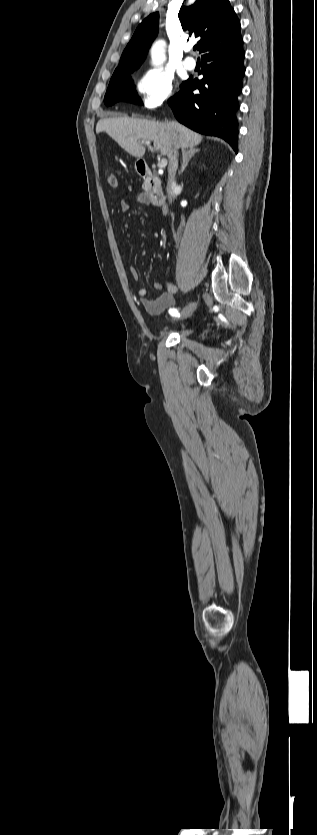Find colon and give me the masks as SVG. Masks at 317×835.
<instances>
[{
	"instance_id": "5ec220e1",
	"label": "colon",
	"mask_w": 317,
	"mask_h": 835,
	"mask_svg": "<svg viewBox=\"0 0 317 835\" xmlns=\"http://www.w3.org/2000/svg\"><path fill=\"white\" fill-rule=\"evenodd\" d=\"M107 183L110 187L115 188L118 185V178L115 173H109L107 175Z\"/></svg>"
}]
</instances>
